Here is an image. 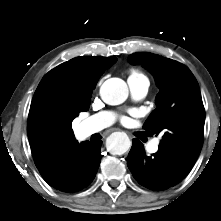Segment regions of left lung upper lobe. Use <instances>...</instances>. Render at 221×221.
Here are the masks:
<instances>
[{"instance_id": "obj_1", "label": "left lung upper lobe", "mask_w": 221, "mask_h": 221, "mask_svg": "<svg viewBox=\"0 0 221 221\" xmlns=\"http://www.w3.org/2000/svg\"><path fill=\"white\" fill-rule=\"evenodd\" d=\"M129 61L143 64L160 89L157 108L143 128L150 135H162L158 150L187 174L200 154L204 138L205 110L197 80L185 65L157 54L134 53Z\"/></svg>"}]
</instances>
